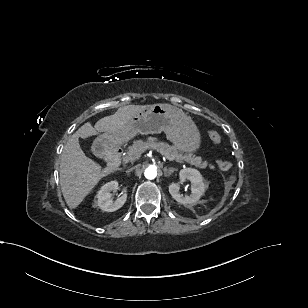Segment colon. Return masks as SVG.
Returning a JSON list of instances; mask_svg holds the SVG:
<instances>
[{
    "mask_svg": "<svg viewBox=\"0 0 308 308\" xmlns=\"http://www.w3.org/2000/svg\"><path fill=\"white\" fill-rule=\"evenodd\" d=\"M209 138L215 144H220L221 142V136L216 131H209ZM217 164L218 167L223 171L229 170L232 167V163L229 160L219 159Z\"/></svg>",
    "mask_w": 308,
    "mask_h": 308,
    "instance_id": "5ec220e1",
    "label": "colon"
}]
</instances>
